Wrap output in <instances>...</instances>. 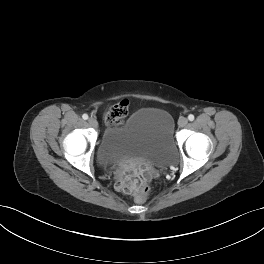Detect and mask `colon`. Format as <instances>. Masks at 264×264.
<instances>
[{
  "mask_svg": "<svg viewBox=\"0 0 264 264\" xmlns=\"http://www.w3.org/2000/svg\"><path fill=\"white\" fill-rule=\"evenodd\" d=\"M128 114V102L121 101L109 108L104 116L107 124L116 125ZM119 189L125 194H132L137 202H144L150 191V187L143 176L137 171H130L123 175L118 182Z\"/></svg>",
  "mask_w": 264,
  "mask_h": 264,
  "instance_id": "5ec220e1",
  "label": "colon"
}]
</instances>
